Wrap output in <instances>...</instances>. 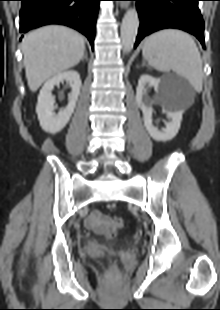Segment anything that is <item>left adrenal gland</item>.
Here are the masks:
<instances>
[{"label":"left adrenal gland","mask_w":220,"mask_h":310,"mask_svg":"<svg viewBox=\"0 0 220 310\" xmlns=\"http://www.w3.org/2000/svg\"><path fill=\"white\" fill-rule=\"evenodd\" d=\"M142 66H146V63H145V61L143 62Z\"/></svg>","instance_id":"left-adrenal-gland-1"}]
</instances>
